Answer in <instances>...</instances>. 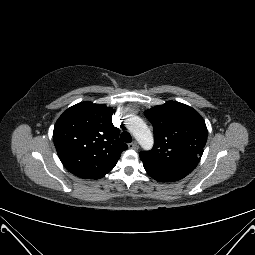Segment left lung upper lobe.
Listing matches in <instances>:
<instances>
[{"label":"left lung upper lobe","mask_w":255,"mask_h":255,"mask_svg":"<svg viewBox=\"0 0 255 255\" xmlns=\"http://www.w3.org/2000/svg\"><path fill=\"white\" fill-rule=\"evenodd\" d=\"M154 127V146L140 153L146 172L159 182L187 176L199 163L207 141L201 115L188 105L168 101L145 111Z\"/></svg>","instance_id":"obj_1"}]
</instances>
